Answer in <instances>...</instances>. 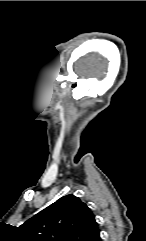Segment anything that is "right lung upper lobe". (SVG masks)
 I'll return each mask as SVG.
<instances>
[{
  "mask_svg": "<svg viewBox=\"0 0 146 241\" xmlns=\"http://www.w3.org/2000/svg\"><path fill=\"white\" fill-rule=\"evenodd\" d=\"M31 241H101L90 208L74 195H66L23 225Z\"/></svg>",
  "mask_w": 146,
  "mask_h": 241,
  "instance_id": "cb5924a9",
  "label": "right lung upper lobe"
}]
</instances>
